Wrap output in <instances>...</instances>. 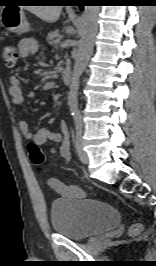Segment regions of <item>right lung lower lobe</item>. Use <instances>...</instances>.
Wrapping results in <instances>:
<instances>
[{"label":"right lung lower lobe","mask_w":156,"mask_h":266,"mask_svg":"<svg viewBox=\"0 0 156 266\" xmlns=\"http://www.w3.org/2000/svg\"><path fill=\"white\" fill-rule=\"evenodd\" d=\"M78 5H79V7H80L81 9H83V6H84L83 3H79Z\"/></svg>","instance_id":"right-lung-lower-lobe-1"}]
</instances>
